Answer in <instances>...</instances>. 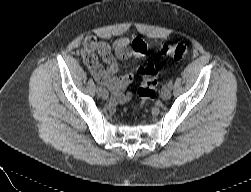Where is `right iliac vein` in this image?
I'll return each mask as SVG.
<instances>
[{"label":"right iliac vein","instance_id":"obj_1","mask_svg":"<svg viewBox=\"0 0 251 192\" xmlns=\"http://www.w3.org/2000/svg\"><path fill=\"white\" fill-rule=\"evenodd\" d=\"M99 95H100L103 99H107L108 96H109V93H108V91H107L106 89H103V90L99 93Z\"/></svg>","mask_w":251,"mask_h":192}]
</instances>
